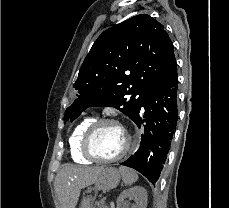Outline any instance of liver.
<instances>
[{
    "instance_id": "6515ba94",
    "label": "liver",
    "mask_w": 229,
    "mask_h": 208,
    "mask_svg": "<svg viewBox=\"0 0 229 208\" xmlns=\"http://www.w3.org/2000/svg\"><path fill=\"white\" fill-rule=\"evenodd\" d=\"M104 166H75L64 164L55 178L54 188L60 202V208H75L81 190L95 184Z\"/></svg>"
}]
</instances>
